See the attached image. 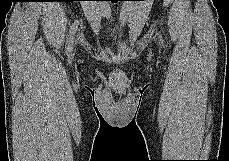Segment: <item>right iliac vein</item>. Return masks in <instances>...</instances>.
Listing matches in <instances>:
<instances>
[{
    "label": "right iliac vein",
    "mask_w": 229,
    "mask_h": 161,
    "mask_svg": "<svg viewBox=\"0 0 229 161\" xmlns=\"http://www.w3.org/2000/svg\"><path fill=\"white\" fill-rule=\"evenodd\" d=\"M74 47H75V46H74ZM73 50H74V48L72 49L71 56H72V54H73Z\"/></svg>",
    "instance_id": "right-iliac-vein-1"
}]
</instances>
